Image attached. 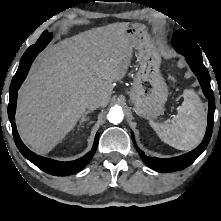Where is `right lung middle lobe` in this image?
Segmentation results:
<instances>
[{
  "instance_id": "right-lung-middle-lobe-1",
  "label": "right lung middle lobe",
  "mask_w": 221,
  "mask_h": 221,
  "mask_svg": "<svg viewBox=\"0 0 221 221\" xmlns=\"http://www.w3.org/2000/svg\"><path fill=\"white\" fill-rule=\"evenodd\" d=\"M51 38H52L51 33H48L47 31L43 32L40 38L38 39V41L36 42V44L32 45V48L37 49L41 47L43 44H45L44 45L45 47L50 42Z\"/></svg>"
}]
</instances>
